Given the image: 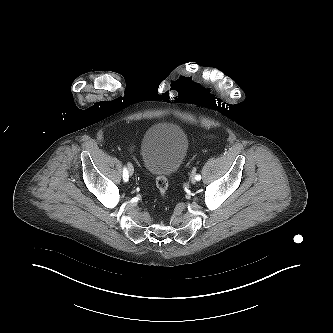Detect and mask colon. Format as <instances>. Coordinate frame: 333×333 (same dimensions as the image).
I'll return each mask as SVG.
<instances>
[{
	"label": "colon",
	"mask_w": 333,
	"mask_h": 333,
	"mask_svg": "<svg viewBox=\"0 0 333 333\" xmlns=\"http://www.w3.org/2000/svg\"><path fill=\"white\" fill-rule=\"evenodd\" d=\"M156 185L163 200L168 199V180L164 176H157Z\"/></svg>",
	"instance_id": "1"
}]
</instances>
